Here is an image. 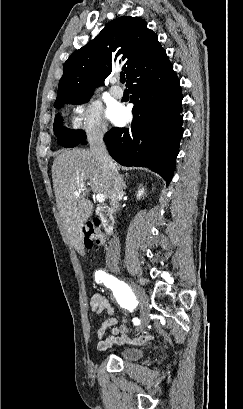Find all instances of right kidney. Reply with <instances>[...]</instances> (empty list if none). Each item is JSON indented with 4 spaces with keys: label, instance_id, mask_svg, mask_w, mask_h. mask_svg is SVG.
<instances>
[{
    "label": "right kidney",
    "instance_id": "right-kidney-1",
    "mask_svg": "<svg viewBox=\"0 0 243 409\" xmlns=\"http://www.w3.org/2000/svg\"><path fill=\"white\" fill-rule=\"evenodd\" d=\"M143 192H144V189L140 190V191L138 192L137 197H139V198H140V196H142V195H143Z\"/></svg>",
    "mask_w": 243,
    "mask_h": 409
}]
</instances>
